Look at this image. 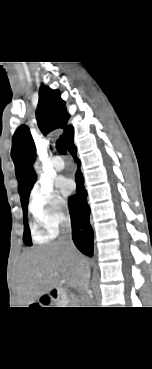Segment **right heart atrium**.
I'll return each instance as SVG.
<instances>
[{"label": "right heart atrium", "instance_id": "1", "mask_svg": "<svg viewBox=\"0 0 152 369\" xmlns=\"http://www.w3.org/2000/svg\"><path fill=\"white\" fill-rule=\"evenodd\" d=\"M28 209L39 228L40 238L56 234L69 217L66 200L52 186L43 183H38L32 188Z\"/></svg>", "mask_w": 152, "mask_h": 369}]
</instances>
